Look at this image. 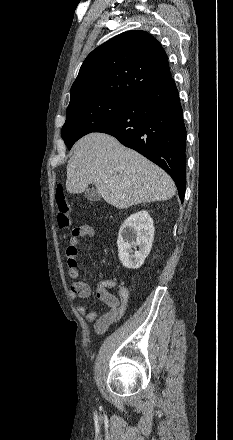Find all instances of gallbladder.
I'll list each match as a JSON object with an SVG mask.
<instances>
[{
    "label": "gallbladder",
    "mask_w": 233,
    "mask_h": 440,
    "mask_svg": "<svg viewBox=\"0 0 233 440\" xmlns=\"http://www.w3.org/2000/svg\"><path fill=\"white\" fill-rule=\"evenodd\" d=\"M85 197L90 201H100L101 200L100 194L94 188H87L85 190Z\"/></svg>",
    "instance_id": "obj_1"
}]
</instances>
